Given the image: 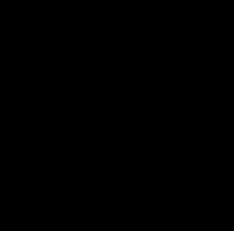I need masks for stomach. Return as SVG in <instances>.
<instances>
[{"label": "stomach", "instance_id": "1", "mask_svg": "<svg viewBox=\"0 0 234 231\" xmlns=\"http://www.w3.org/2000/svg\"><path fill=\"white\" fill-rule=\"evenodd\" d=\"M133 78V98L145 106L146 114L156 116L165 102L164 92L158 85L148 78H143L137 71Z\"/></svg>", "mask_w": 234, "mask_h": 231}]
</instances>
